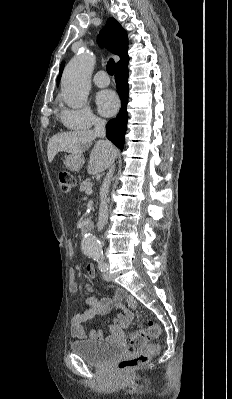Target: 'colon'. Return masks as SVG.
<instances>
[{
  "instance_id": "1",
  "label": "colon",
  "mask_w": 232,
  "mask_h": 399,
  "mask_svg": "<svg viewBox=\"0 0 232 399\" xmlns=\"http://www.w3.org/2000/svg\"><path fill=\"white\" fill-rule=\"evenodd\" d=\"M75 180L70 174H61L56 172V186L59 191L73 192ZM162 333V326L158 321H149L148 326H134L133 334H129V340H125V346L122 347L123 353H139V355H120V374H133L134 368L149 362L151 356L150 351H146L149 347V341H157Z\"/></svg>"
}]
</instances>
